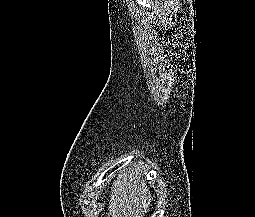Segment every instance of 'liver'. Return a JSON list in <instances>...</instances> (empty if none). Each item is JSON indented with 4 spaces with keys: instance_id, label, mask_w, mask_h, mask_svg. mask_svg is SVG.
Listing matches in <instances>:
<instances>
[{
    "instance_id": "1",
    "label": "liver",
    "mask_w": 255,
    "mask_h": 217,
    "mask_svg": "<svg viewBox=\"0 0 255 217\" xmlns=\"http://www.w3.org/2000/svg\"><path fill=\"white\" fill-rule=\"evenodd\" d=\"M151 194L141 175L121 174L111 187L108 217H144ZM149 199V202H148Z\"/></svg>"
}]
</instances>
